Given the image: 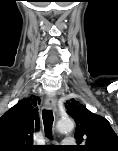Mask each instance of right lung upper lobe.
Here are the masks:
<instances>
[{"label":"right lung upper lobe","instance_id":"obj_1","mask_svg":"<svg viewBox=\"0 0 118 151\" xmlns=\"http://www.w3.org/2000/svg\"><path fill=\"white\" fill-rule=\"evenodd\" d=\"M39 97L20 100L0 118V151H31L33 133L39 129Z\"/></svg>","mask_w":118,"mask_h":151}]
</instances>
